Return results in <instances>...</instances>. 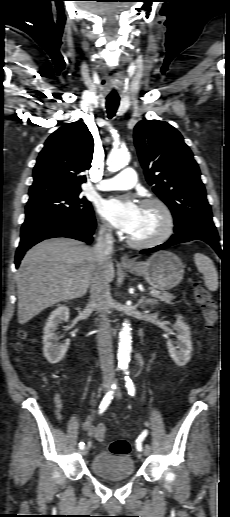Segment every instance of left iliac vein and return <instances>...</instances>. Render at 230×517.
Wrapping results in <instances>:
<instances>
[{"mask_svg":"<svg viewBox=\"0 0 230 517\" xmlns=\"http://www.w3.org/2000/svg\"><path fill=\"white\" fill-rule=\"evenodd\" d=\"M115 394H116V397H117V398H120L121 393H120V390H119V389H117V390H116V393H115ZM150 451H151L150 446H149L148 444H146V445L144 446V449H143V454L146 456V455H148V454L150 453Z\"/></svg>","mask_w":230,"mask_h":517,"instance_id":"left-iliac-vein-1","label":"left iliac vein"}]
</instances>
